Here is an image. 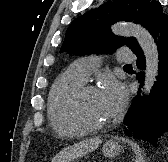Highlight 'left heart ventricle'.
Instances as JSON below:
<instances>
[{"instance_id": "b2bd125f", "label": "left heart ventricle", "mask_w": 168, "mask_h": 162, "mask_svg": "<svg viewBox=\"0 0 168 162\" xmlns=\"http://www.w3.org/2000/svg\"><path fill=\"white\" fill-rule=\"evenodd\" d=\"M82 112L85 118L92 123L108 121L105 110L100 100L99 92H89L82 100Z\"/></svg>"}]
</instances>
